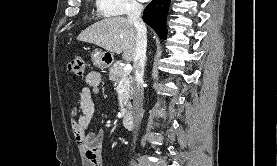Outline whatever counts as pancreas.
<instances>
[{
	"label": "pancreas",
	"mask_w": 277,
	"mask_h": 166,
	"mask_svg": "<svg viewBox=\"0 0 277 166\" xmlns=\"http://www.w3.org/2000/svg\"><path fill=\"white\" fill-rule=\"evenodd\" d=\"M109 79L116 83L123 80L124 94L122 96L123 106L121 111L126 114L131 111V97H132V77L130 71H124V67L119 63H115L109 70Z\"/></svg>",
	"instance_id": "cf45deb5"
}]
</instances>
